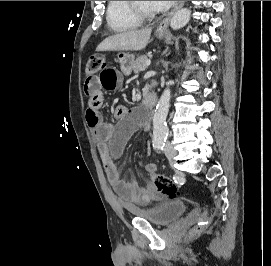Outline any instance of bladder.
I'll return each instance as SVG.
<instances>
[{"label": "bladder", "instance_id": "obj_1", "mask_svg": "<svg viewBox=\"0 0 271 266\" xmlns=\"http://www.w3.org/2000/svg\"><path fill=\"white\" fill-rule=\"evenodd\" d=\"M187 210L184 201L169 202L149 210H134L132 215L156 226H166L177 220Z\"/></svg>", "mask_w": 271, "mask_h": 266}]
</instances>
